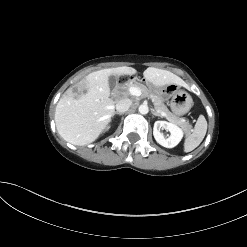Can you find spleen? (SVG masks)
<instances>
[{"label": "spleen", "mask_w": 247, "mask_h": 247, "mask_svg": "<svg viewBox=\"0 0 247 247\" xmlns=\"http://www.w3.org/2000/svg\"><path fill=\"white\" fill-rule=\"evenodd\" d=\"M207 132V121L203 115L198 117L193 132L186 137L184 152H190L200 145Z\"/></svg>", "instance_id": "obj_1"}]
</instances>
